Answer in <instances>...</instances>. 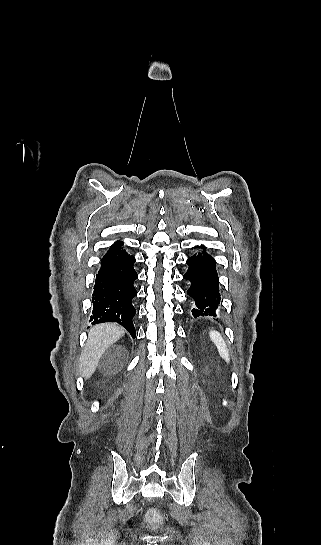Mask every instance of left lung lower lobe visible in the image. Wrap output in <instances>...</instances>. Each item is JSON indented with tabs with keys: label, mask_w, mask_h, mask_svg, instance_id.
Masks as SVG:
<instances>
[{
	"label": "left lung lower lobe",
	"mask_w": 321,
	"mask_h": 545,
	"mask_svg": "<svg viewBox=\"0 0 321 545\" xmlns=\"http://www.w3.org/2000/svg\"><path fill=\"white\" fill-rule=\"evenodd\" d=\"M201 248L205 249L203 246ZM186 263L189 269L184 274V279L191 282L187 294L195 301L190 310L192 315L216 317L220 294L214 258L204 250L188 258Z\"/></svg>",
	"instance_id": "1"
}]
</instances>
